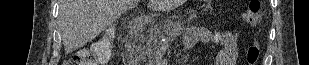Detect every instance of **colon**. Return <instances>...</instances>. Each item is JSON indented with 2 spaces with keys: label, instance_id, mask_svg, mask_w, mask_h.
Segmentation results:
<instances>
[{
  "label": "colon",
  "instance_id": "1",
  "mask_svg": "<svg viewBox=\"0 0 309 65\" xmlns=\"http://www.w3.org/2000/svg\"><path fill=\"white\" fill-rule=\"evenodd\" d=\"M242 18L249 25L255 24L260 18V3L253 0L243 11ZM115 40V33L108 29L105 35L95 41L90 48L81 50L77 53L74 65H102L105 64L112 53V46ZM261 48L257 41H254L247 50L246 62L248 65H258L260 60Z\"/></svg>",
  "mask_w": 309,
  "mask_h": 65
}]
</instances>
